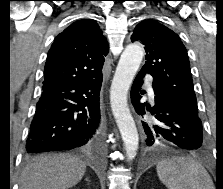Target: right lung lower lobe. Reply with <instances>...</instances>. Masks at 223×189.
Segmentation results:
<instances>
[{"instance_id": "98d812e1", "label": "right lung lower lobe", "mask_w": 223, "mask_h": 189, "mask_svg": "<svg viewBox=\"0 0 223 189\" xmlns=\"http://www.w3.org/2000/svg\"><path fill=\"white\" fill-rule=\"evenodd\" d=\"M102 74L82 81L43 85L27 139L28 154L95 146L102 122Z\"/></svg>"}]
</instances>
